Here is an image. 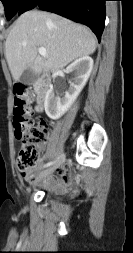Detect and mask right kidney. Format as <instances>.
I'll return each mask as SVG.
<instances>
[{"label":"right kidney","instance_id":"obj_1","mask_svg":"<svg viewBox=\"0 0 133 253\" xmlns=\"http://www.w3.org/2000/svg\"><path fill=\"white\" fill-rule=\"evenodd\" d=\"M92 69L93 59L89 56L80 57L66 68V73H73L74 78L64 96L55 95L52 90L47 92L44 107L48 117L58 119L71 107L89 79Z\"/></svg>","mask_w":133,"mask_h":253}]
</instances>
